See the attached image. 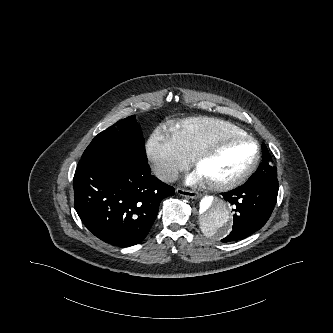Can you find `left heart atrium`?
I'll list each match as a JSON object with an SVG mask.
<instances>
[{"mask_svg": "<svg viewBox=\"0 0 333 333\" xmlns=\"http://www.w3.org/2000/svg\"><path fill=\"white\" fill-rule=\"evenodd\" d=\"M202 179L201 175L199 173H194L191 174L188 178H187V182L189 184H194L196 183L198 180Z\"/></svg>", "mask_w": 333, "mask_h": 333, "instance_id": "39dd6f15", "label": "left heart atrium"}]
</instances>
